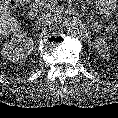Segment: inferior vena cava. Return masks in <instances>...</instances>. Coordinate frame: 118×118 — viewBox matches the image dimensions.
Here are the masks:
<instances>
[{"instance_id": "inferior-vena-cava-1", "label": "inferior vena cava", "mask_w": 118, "mask_h": 118, "mask_svg": "<svg viewBox=\"0 0 118 118\" xmlns=\"http://www.w3.org/2000/svg\"><path fill=\"white\" fill-rule=\"evenodd\" d=\"M52 23H53V18L45 14L38 18V20L35 22V26L38 29H45L47 26L51 25Z\"/></svg>"}]
</instances>
